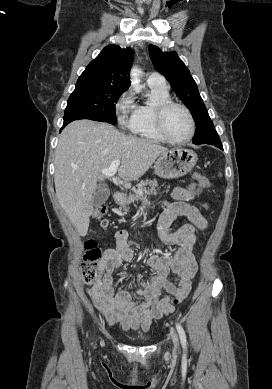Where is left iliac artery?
Segmentation results:
<instances>
[{
    "mask_svg": "<svg viewBox=\"0 0 272 389\" xmlns=\"http://www.w3.org/2000/svg\"><path fill=\"white\" fill-rule=\"evenodd\" d=\"M176 329L178 331V334H179V337L181 340V344H182L183 348L186 349V347H187L186 334H185V331L180 323H176Z\"/></svg>",
    "mask_w": 272,
    "mask_h": 389,
    "instance_id": "1",
    "label": "left iliac artery"
}]
</instances>
